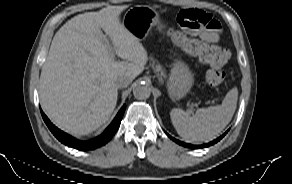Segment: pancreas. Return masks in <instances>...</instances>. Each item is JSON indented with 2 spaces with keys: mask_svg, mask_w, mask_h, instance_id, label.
Returning a JSON list of instances; mask_svg holds the SVG:
<instances>
[{
  "mask_svg": "<svg viewBox=\"0 0 292 184\" xmlns=\"http://www.w3.org/2000/svg\"><path fill=\"white\" fill-rule=\"evenodd\" d=\"M154 64H155V62L152 63L153 67H154ZM154 69L156 72H158V73L160 72V74H158V76H159V79L162 80V76H165V72L162 69V67L159 64H157Z\"/></svg>",
  "mask_w": 292,
  "mask_h": 184,
  "instance_id": "cf45deb5",
  "label": "pancreas"
}]
</instances>
